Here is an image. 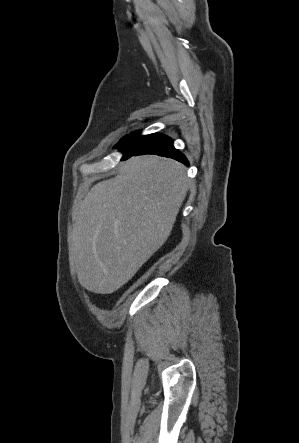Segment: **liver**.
Here are the masks:
<instances>
[{
	"label": "liver",
	"mask_w": 299,
	"mask_h": 443,
	"mask_svg": "<svg viewBox=\"0 0 299 443\" xmlns=\"http://www.w3.org/2000/svg\"><path fill=\"white\" fill-rule=\"evenodd\" d=\"M186 168L159 156L133 157L94 185L74 217L72 261L81 286L110 294L166 242L188 191Z\"/></svg>",
	"instance_id": "6515ba94"
}]
</instances>
